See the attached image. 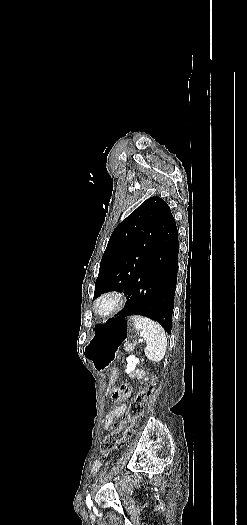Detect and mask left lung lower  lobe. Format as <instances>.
I'll return each mask as SVG.
<instances>
[{
  "mask_svg": "<svg viewBox=\"0 0 247 525\" xmlns=\"http://www.w3.org/2000/svg\"><path fill=\"white\" fill-rule=\"evenodd\" d=\"M178 252V230L173 218L154 241L145 266L126 293V305L117 319L146 316L171 333Z\"/></svg>",
  "mask_w": 247,
  "mask_h": 525,
  "instance_id": "0a47b994",
  "label": "left lung lower lobe"
}]
</instances>
